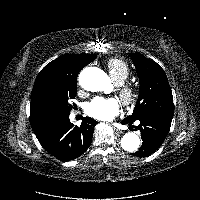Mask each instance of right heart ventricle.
<instances>
[{
  "label": "right heart ventricle",
  "mask_w": 200,
  "mask_h": 200,
  "mask_svg": "<svg viewBox=\"0 0 200 200\" xmlns=\"http://www.w3.org/2000/svg\"><path fill=\"white\" fill-rule=\"evenodd\" d=\"M107 68L112 80L120 85L130 77L128 63L121 58H111L107 62Z\"/></svg>",
  "instance_id": "obj_1"
}]
</instances>
